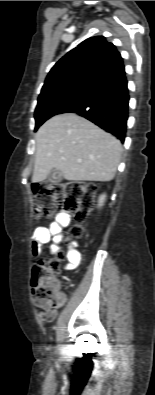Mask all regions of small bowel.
I'll return each instance as SVG.
<instances>
[{
	"instance_id": "obj_1",
	"label": "small bowel",
	"mask_w": 155,
	"mask_h": 395,
	"mask_svg": "<svg viewBox=\"0 0 155 395\" xmlns=\"http://www.w3.org/2000/svg\"><path fill=\"white\" fill-rule=\"evenodd\" d=\"M69 223V215L66 212H60L47 227H39L34 231L31 238V254H42L44 244L52 241L51 250L56 252L58 245L63 240L62 231ZM75 245V243L73 244ZM68 263L66 270L74 269L81 260V255L74 247L70 248L67 254ZM57 315L54 309H43L40 316L42 320L51 322Z\"/></svg>"
}]
</instances>
